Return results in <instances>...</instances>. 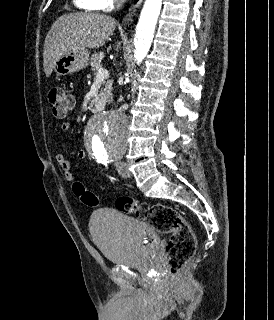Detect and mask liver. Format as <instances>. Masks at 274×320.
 <instances>
[{
  "label": "liver",
  "mask_w": 274,
  "mask_h": 320,
  "mask_svg": "<svg viewBox=\"0 0 274 320\" xmlns=\"http://www.w3.org/2000/svg\"><path fill=\"white\" fill-rule=\"evenodd\" d=\"M116 22L105 14H65L54 22L49 30L43 52V68L46 78H50L53 66L61 54L67 50L100 48L112 36Z\"/></svg>",
  "instance_id": "1"
}]
</instances>
